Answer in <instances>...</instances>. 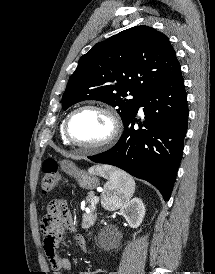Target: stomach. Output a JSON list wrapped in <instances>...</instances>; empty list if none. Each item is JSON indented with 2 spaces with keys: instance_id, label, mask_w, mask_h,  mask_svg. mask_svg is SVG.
Here are the masks:
<instances>
[{
  "instance_id": "1",
  "label": "stomach",
  "mask_w": 215,
  "mask_h": 274,
  "mask_svg": "<svg viewBox=\"0 0 215 274\" xmlns=\"http://www.w3.org/2000/svg\"><path fill=\"white\" fill-rule=\"evenodd\" d=\"M61 168L69 175L73 176L80 187L92 190L99 185L97 174L88 173L79 169L73 162L64 160L61 162Z\"/></svg>"
}]
</instances>
